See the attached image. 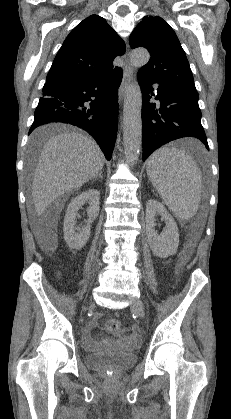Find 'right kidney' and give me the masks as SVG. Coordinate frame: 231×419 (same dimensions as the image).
Returning a JSON list of instances; mask_svg holds the SVG:
<instances>
[{
  "label": "right kidney",
  "mask_w": 231,
  "mask_h": 419,
  "mask_svg": "<svg viewBox=\"0 0 231 419\" xmlns=\"http://www.w3.org/2000/svg\"><path fill=\"white\" fill-rule=\"evenodd\" d=\"M99 200L100 192L96 189H89L72 199L68 205L64 218L63 231L64 239L72 249L80 250L87 243L90 237L91 224L99 215ZM85 203L89 204L87 208L88 220L84 228L77 233L76 230L78 229L75 227L76 215Z\"/></svg>",
  "instance_id": "ca27d5eb"
}]
</instances>
